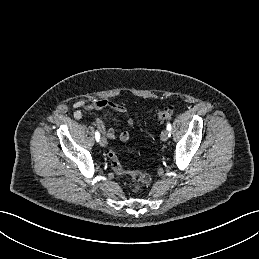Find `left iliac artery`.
Returning <instances> with one entry per match:
<instances>
[{"label": "left iliac artery", "mask_w": 259, "mask_h": 259, "mask_svg": "<svg viewBox=\"0 0 259 259\" xmlns=\"http://www.w3.org/2000/svg\"><path fill=\"white\" fill-rule=\"evenodd\" d=\"M168 132H169V136L171 135L170 132H171V124L170 123H167V126H166Z\"/></svg>", "instance_id": "left-iliac-artery-1"}]
</instances>
